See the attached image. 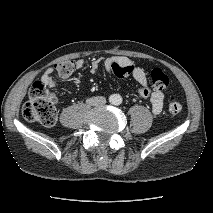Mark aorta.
<instances>
[{"label":"aorta","mask_w":213,"mask_h":213,"mask_svg":"<svg viewBox=\"0 0 213 213\" xmlns=\"http://www.w3.org/2000/svg\"><path fill=\"white\" fill-rule=\"evenodd\" d=\"M109 101L113 105H120L122 103V97L119 94H112Z\"/></svg>","instance_id":"aorta-1"}]
</instances>
